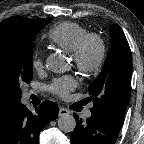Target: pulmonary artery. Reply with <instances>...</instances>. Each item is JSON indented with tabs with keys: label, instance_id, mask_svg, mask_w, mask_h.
Returning <instances> with one entry per match:
<instances>
[{
	"label": "pulmonary artery",
	"instance_id": "e3ab8cb5",
	"mask_svg": "<svg viewBox=\"0 0 144 144\" xmlns=\"http://www.w3.org/2000/svg\"><path fill=\"white\" fill-rule=\"evenodd\" d=\"M90 116H91V111H90V110H87V111L84 113V117L89 118Z\"/></svg>",
	"mask_w": 144,
	"mask_h": 144
}]
</instances>
